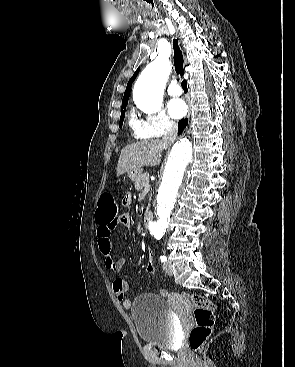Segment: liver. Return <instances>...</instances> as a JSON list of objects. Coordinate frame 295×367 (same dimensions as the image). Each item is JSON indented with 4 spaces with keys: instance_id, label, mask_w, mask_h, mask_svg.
I'll list each match as a JSON object with an SVG mask.
<instances>
[{
    "instance_id": "6515ba94",
    "label": "liver",
    "mask_w": 295,
    "mask_h": 367,
    "mask_svg": "<svg viewBox=\"0 0 295 367\" xmlns=\"http://www.w3.org/2000/svg\"><path fill=\"white\" fill-rule=\"evenodd\" d=\"M167 146L162 140H144L124 147L121 151L117 176L144 166H157L161 163V153Z\"/></svg>"
}]
</instances>
